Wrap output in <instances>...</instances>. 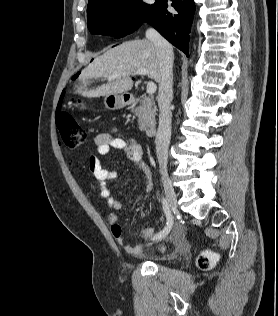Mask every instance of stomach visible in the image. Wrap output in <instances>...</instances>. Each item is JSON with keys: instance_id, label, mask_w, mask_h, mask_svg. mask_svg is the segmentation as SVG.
Returning <instances> with one entry per match:
<instances>
[{"instance_id": "1", "label": "stomach", "mask_w": 278, "mask_h": 316, "mask_svg": "<svg viewBox=\"0 0 278 316\" xmlns=\"http://www.w3.org/2000/svg\"><path fill=\"white\" fill-rule=\"evenodd\" d=\"M105 107L110 110L120 109L128 104V101L125 100L124 96L119 95H108L104 100ZM75 107L78 110L86 109V104L84 102L75 103Z\"/></svg>"}]
</instances>
